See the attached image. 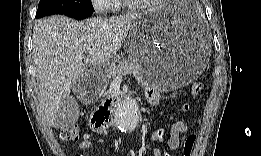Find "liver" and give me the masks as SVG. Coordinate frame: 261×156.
I'll return each mask as SVG.
<instances>
[{
  "mask_svg": "<svg viewBox=\"0 0 261 156\" xmlns=\"http://www.w3.org/2000/svg\"><path fill=\"white\" fill-rule=\"evenodd\" d=\"M141 15L142 12H133L82 22L55 15L37 21L32 35L33 57L38 99L49 126L57 127L59 108L88 68L112 59L125 42L132 24ZM86 53L84 59L79 58ZM75 111L79 116L77 103Z\"/></svg>",
  "mask_w": 261,
  "mask_h": 156,
  "instance_id": "obj_1",
  "label": "liver"
}]
</instances>
